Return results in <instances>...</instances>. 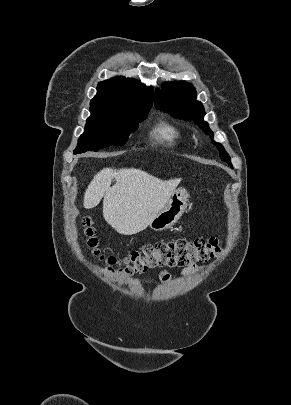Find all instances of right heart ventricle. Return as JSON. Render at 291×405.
<instances>
[{
    "label": "right heart ventricle",
    "instance_id": "obj_1",
    "mask_svg": "<svg viewBox=\"0 0 291 405\" xmlns=\"http://www.w3.org/2000/svg\"><path fill=\"white\" fill-rule=\"evenodd\" d=\"M152 135L156 141L167 145H176L181 138L180 131L168 122L157 124Z\"/></svg>",
    "mask_w": 291,
    "mask_h": 405
}]
</instances>
